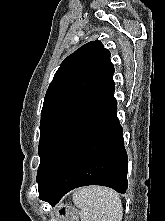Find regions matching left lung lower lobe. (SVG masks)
I'll return each mask as SVG.
<instances>
[{"instance_id": "left-lung-lower-lobe-1", "label": "left lung lower lobe", "mask_w": 165, "mask_h": 221, "mask_svg": "<svg viewBox=\"0 0 165 221\" xmlns=\"http://www.w3.org/2000/svg\"><path fill=\"white\" fill-rule=\"evenodd\" d=\"M115 86L58 142L38 180L39 198L55 206L70 190L102 185L127 190L128 157Z\"/></svg>"}]
</instances>
